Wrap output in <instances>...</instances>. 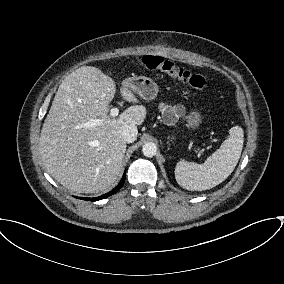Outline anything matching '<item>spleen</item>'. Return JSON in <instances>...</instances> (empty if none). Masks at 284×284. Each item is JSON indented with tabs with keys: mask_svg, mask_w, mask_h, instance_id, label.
Returning <instances> with one entry per match:
<instances>
[{
	"mask_svg": "<svg viewBox=\"0 0 284 284\" xmlns=\"http://www.w3.org/2000/svg\"><path fill=\"white\" fill-rule=\"evenodd\" d=\"M244 132L239 126L229 130L228 138L203 164L179 161L175 167L177 183L187 189L202 191L222 183L235 169L241 156Z\"/></svg>",
	"mask_w": 284,
	"mask_h": 284,
	"instance_id": "spleen-1",
	"label": "spleen"
}]
</instances>
